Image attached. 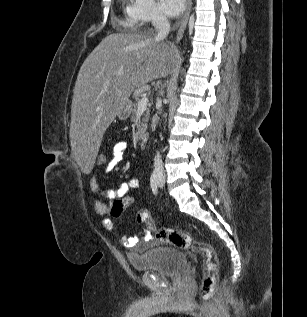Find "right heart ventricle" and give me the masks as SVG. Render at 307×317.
I'll return each instance as SVG.
<instances>
[{
    "mask_svg": "<svg viewBox=\"0 0 307 317\" xmlns=\"http://www.w3.org/2000/svg\"><path fill=\"white\" fill-rule=\"evenodd\" d=\"M123 13L125 15V26L131 30L139 27V20L134 13V4L131 0H123Z\"/></svg>",
    "mask_w": 307,
    "mask_h": 317,
    "instance_id": "1",
    "label": "right heart ventricle"
}]
</instances>
